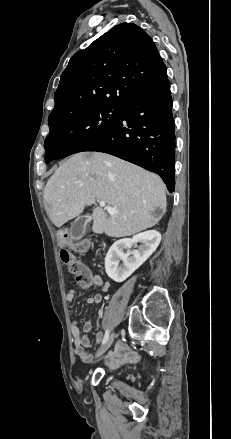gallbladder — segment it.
<instances>
[{
    "label": "gallbladder",
    "instance_id": "obj_1",
    "mask_svg": "<svg viewBox=\"0 0 231 439\" xmlns=\"http://www.w3.org/2000/svg\"><path fill=\"white\" fill-rule=\"evenodd\" d=\"M89 221H90L89 215H83L76 218L70 227V234L72 238L78 236L81 239L85 233L86 225L88 224Z\"/></svg>",
    "mask_w": 231,
    "mask_h": 439
}]
</instances>
